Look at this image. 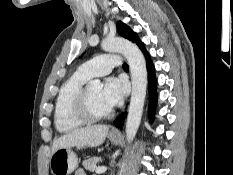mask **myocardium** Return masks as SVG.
<instances>
[{"mask_svg": "<svg viewBox=\"0 0 233 175\" xmlns=\"http://www.w3.org/2000/svg\"><path fill=\"white\" fill-rule=\"evenodd\" d=\"M87 89L88 88L83 87L78 92L73 101L72 112L75 115V117L88 123L98 122L106 118H109L112 115L111 109L102 114H97L92 110L89 102Z\"/></svg>", "mask_w": 233, "mask_h": 175, "instance_id": "1", "label": "myocardium"}]
</instances>
